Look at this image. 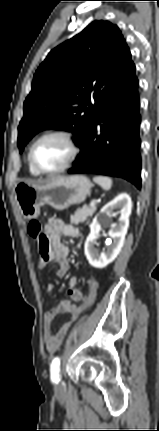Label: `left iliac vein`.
<instances>
[{
	"label": "left iliac vein",
	"mask_w": 159,
	"mask_h": 431,
	"mask_svg": "<svg viewBox=\"0 0 159 431\" xmlns=\"http://www.w3.org/2000/svg\"><path fill=\"white\" fill-rule=\"evenodd\" d=\"M55 390H56L57 392L62 390V382H61V381H60V382H57V383L55 384Z\"/></svg>",
	"instance_id": "left-iliac-vein-1"
}]
</instances>
